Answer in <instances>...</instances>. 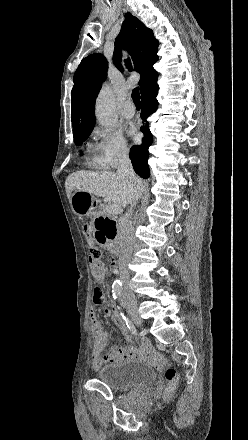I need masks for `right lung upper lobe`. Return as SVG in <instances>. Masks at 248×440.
Listing matches in <instances>:
<instances>
[{
	"mask_svg": "<svg viewBox=\"0 0 248 440\" xmlns=\"http://www.w3.org/2000/svg\"><path fill=\"white\" fill-rule=\"evenodd\" d=\"M121 48L129 51L139 80L141 96L157 85L158 73L153 68L157 62L158 41L153 31L147 28L131 13L125 14L120 34L115 41L114 62L122 71ZM107 61L99 54L84 58L74 74V87L71 92V120L73 134L93 130L95 125V97L105 80Z\"/></svg>",
	"mask_w": 248,
	"mask_h": 440,
	"instance_id": "right-lung-upper-lobe-1",
	"label": "right lung upper lobe"
}]
</instances>
